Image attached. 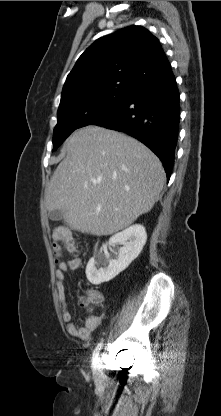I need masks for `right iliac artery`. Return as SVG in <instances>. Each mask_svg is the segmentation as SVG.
Returning a JSON list of instances; mask_svg holds the SVG:
<instances>
[{
    "label": "right iliac artery",
    "instance_id": "right-iliac-artery-1",
    "mask_svg": "<svg viewBox=\"0 0 221 416\" xmlns=\"http://www.w3.org/2000/svg\"><path fill=\"white\" fill-rule=\"evenodd\" d=\"M102 346H103V342L98 343V345L93 351L92 364L94 366H96V364L98 363V355H99L100 350L102 349Z\"/></svg>",
    "mask_w": 221,
    "mask_h": 416
}]
</instances>
